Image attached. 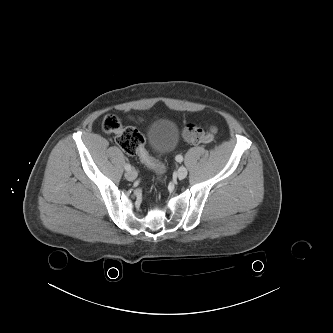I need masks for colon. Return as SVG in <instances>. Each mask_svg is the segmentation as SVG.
I'll list each match as a JSON object with an SVG mask.
<instances>
[{
    "label": "colon",
    "instance_id": "obj_1",
    "mask_svg": "<svg viewBox=\"0 0 333 333\" xmlns=\"http://www.w3.org/2000/svg\"><path fill=\"white\" fill-rule=\"evenodd\" d=\"M102 129L107 134L115 136L116 143L129 155L138 156L143 164L154 170L162 180L165 167L156 162L145 148V139L140 131L134 127L123 128L119 118L109 114L102 122ZM217 133L215 126H209L206 130L201 129L195 124L188 123L182 128L183 138L191 143H201L211 141Z\"/></svg>",
    "mask_w": 333,
    "mask_h": 333
}]
</instances>
